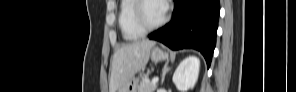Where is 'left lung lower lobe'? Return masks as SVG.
I'll use <instances>...</instances> for the list:
<instances>
[{
  "label": "left lung lower lobe",
  "instance_id": "0a47b994",
  "mask_svg": "<svg viewBox=\"0 0 296 92\" xmlns=\"http://www.w3.org/2000/svg\"><path fill=\"white\" fill-rule=\"evenodd\" d=\"M172 20L149 34L173 50L193 48L200 51L210 66L216 44L219 0H174Z\"/></svg>",
  "mask_w": 296,
  "mask_h": 92
}]
</instances>
